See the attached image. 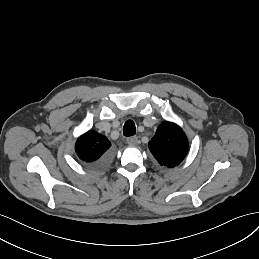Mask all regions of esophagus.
<instances>
[{"label":"esophagus","mask_w":259,"mask_h":259,"mask_svg":"<svg viewBox=\"0 0 259 259\" xmlns=\"http://www.w3.org/2000/svg\"><path fill=\"white\" fill-rule=\"evenodd\" d=\"M127 143L129 145H135L137 143V137L136 136H132L127 138Z\"/></svg>","instance_id":"34e87169"}]
</instances>
